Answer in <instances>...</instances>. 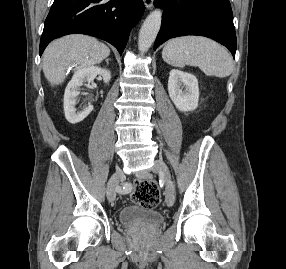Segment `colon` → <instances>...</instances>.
I'll return each instance as SVG.
<instances>
[{
	"instance_id": "1",
	"label": "colon",
	"mask_w": 286,
	"mask_h": 269,
	"mask_svg": "<svg viewBox=\"0 0 286 269\" xmlns=\"http://www.w3.org/2000/svg\"><path fill=\"white\" fill-rule=\"evenodd\" d=\"M132 201L144 208H154L159 204V191L154 182L142 180L136 182V189Z\"/></svg>"
}]
</instances>
